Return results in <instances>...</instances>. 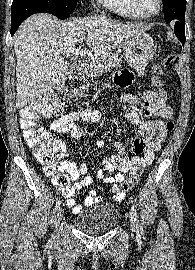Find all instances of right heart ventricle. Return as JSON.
I'll use <instances>...</instances> for the list:
<instances>
[{
	"label": "right heart ventricle",
	"mask_w": 195,
	"mask_h": 270,
	"mask_svg": "<svg viewBox=\"0 0 195 270\" xmlns=\"http://www.w3.org/2000/svg\"><path fill=\"white\" fill-rule=\"evenodd\" d=\"M106 8L119 16L130 19H145L134 6L132 0H99Z\"/></svg>",
	"instance_id": "obj_1"
}]
</instances>
